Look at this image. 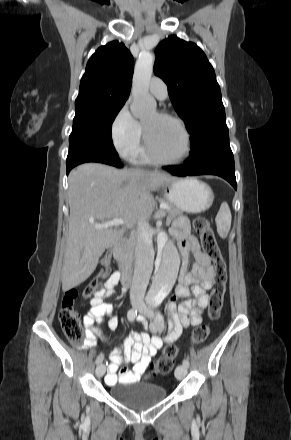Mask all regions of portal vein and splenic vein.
Instances as JSON below:
<instances>
[{
  "label": "portal vein and splenic vein",
  "instance_id": "1",
  "mask_svg": "<svg viewBox=\"0 0 291 440\" xmlns=\"http://www.w3.org/2000/svg\"><path fill=\"white\" fill-rule=\"evenodd\" d=\"M168 206L166 204H161L160 205V209H167ZM125 221L123 219H113L111 221H107L103 224L100 225H96V228L99 229H103V228H109V227H113V226H118V225H124Z\"/></svg>",
  "mask_w": 291,
  "mask_h": 440
}]
</instances>
